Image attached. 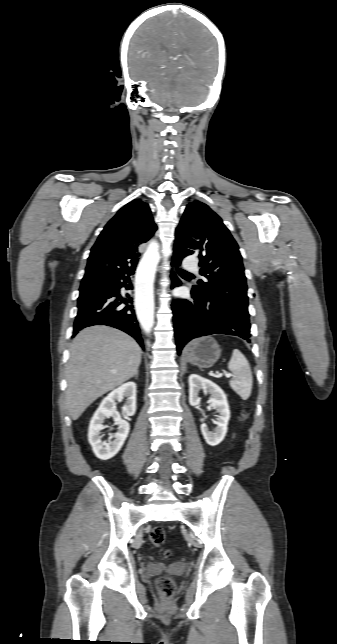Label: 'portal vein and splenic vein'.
I'll return each instance as SVG.
<instances>
[{
	"instance_id": "1",
	"label": "portal vein and splenic vein",
	"mask_w": 337,
	"mask_h": 644,
	"mask_svg": "<svg viewBox=\"0 0 337 644\" xmlns=\"http://www.w3.org/2000/svg\"><path fill=\"white\" fill-rule=\"evenodd\" d=\"M221 375H222V374L220 373V374H218L217 376H219V377H220ZM232 376H233V375H232V374H230V373H227V374H226V377H228V378H229V377H232Z\"/></svg>"
}]
</instances>
